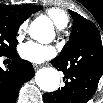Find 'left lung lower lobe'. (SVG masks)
<instances>
[{"label":"left lung lower lobe","mask_w":103,"mask_h":103,"mask_svg":"<svg viewBox=\"0 0 103 103\" xmlns=\"http://www.w3.org/2000/svg\"><path fill=\"white\" fill-rule=\"evenodd\" d=\"M90 56L75 51L67 57L57 56L51 64L65 75V86L44 94L45 103H87L103 74V45L100 36L85 38Z\"/></svg>","instance_id":"obj_1"}]
</instances>
